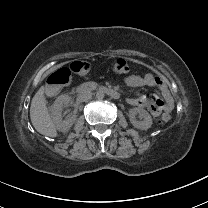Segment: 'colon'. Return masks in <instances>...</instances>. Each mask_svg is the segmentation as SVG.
Returning a JSON list of instances; mask_svg holds the SVG:
<instances>
[{
  "instance_id": "colon-1",
  "label": "colon",
  "mask_w": 208,
  "mask_h": 208,
  "mask_svg": "<svg viewBox=\"0 0 208 208\" xmlns=\"http://www.w3.org/2000/svg\"><path fill=\"white\" fill-rule=\"evenodd\" d=\"M111 71L115 74L122 75L129 71V65L124 58H117L111 65ZM170 121V116L167 113H162L157 117L156 123L160 126L166 125Z\"/></svg>"
}]
</instances>
